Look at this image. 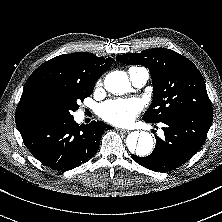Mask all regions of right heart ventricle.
<instances>
[{"label": "right heart ventricle", "instance_id": "1", "mask_svg": "<svg viewBox=\"0 0 222 222\" xmlns=\"http://www.w3.org/2000/svg\"><path fill=\"white\" fill-rule=\"evenodd\" d=\"M132 68H137V67H131L130 69H132Z\"/></svg>", "mask_w": 222, "mask_h": 222}]
</instances>
